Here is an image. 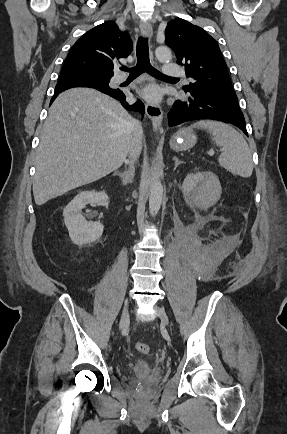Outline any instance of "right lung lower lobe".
<instances>
[{
	"label": "right lung lower lobe",
	"mask_w": 287,
	"mask_h": 434,
	"mask_svg": "<svg viewBox=\"0 0 287 434\" xmlns=\"http://www.w3.org/2000/svg\"><path fill=\"white\" fill-rule=\"evenodd\" d=\"M73 87H91V88H95L117 100H119L121 102V104L123 105V107L127 110L130 111H138L141 113H144V105L143 103L138 100L136 103L134 104H129L126 101V96L124 95V93L119 90V89H111V88H103V87H98V86H88V85H56L55 88V93L54 96L51 100V102L54 101V99L58 96L59 93H61L62 91L68 89V88H73Z\"/></svg>",
	"instance_id": "98d812e1"
}]
</instances>
